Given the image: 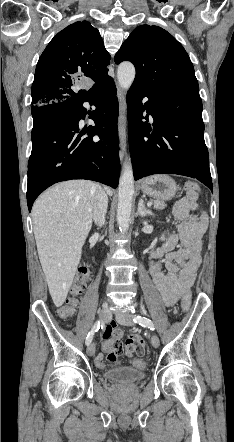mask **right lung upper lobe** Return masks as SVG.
<instances>
[{
	"mask_svg": "<svg viewBox=\"0 0 234 442\" xmlns=\"http://www.w3.org/2000/svg\"><path fill=\"white\" fill-rule=\"evenodd\" d=\"M110 55L99 31L89 22H75L53 37L36 66L32 107L84 97L81 82L109 78ZM94 84V85H95Z\"/></svg>",
	"mask_w": 234,
	"mask_h": 442,
	"instance_id": "obj_1",
	"label": "right lung upper lobe"
}]
</instances>
